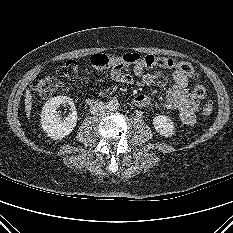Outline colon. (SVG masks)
Masks as SVG:
<instances>
[{
	"instance_id": "1",
	"label": "colon",
	"mask_w": 233,
	"mask_h": 233,
	"mask_svg": "<svg viewBox=\"0 0 233 233\" xmlns=\"http://www.w3.org/2000/svg\"><path fill=\"white\" fill-rule=\"evenodd\" d=\"M90 63L95 69L109 67L113 63L123 65L139 64L146 68L166 67L178 70L192 79H197V75L191 64L183 61H177L172 58L158 57L151 54L141 55L138 53H124L121 55H108L98 53L91 56ZM78 73L79 69L77 62L75 60H68L58 68L57 74H47L36 77L31 82V88L43 98L51 97L60 90L64 79H74L78 76ZM193 93L202 99L206 94V90L202 84L196 83L193 88ZM212 112V104L205 103L202 108L203 115L205 117H209Z\"/></svg>"
}]
</instances>
